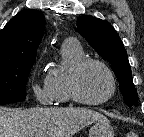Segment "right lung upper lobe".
Wrapping results in <instances>:
<instances>
[{
  "label": "right lung upper lobe",
  "mask_w": 144,
  "mask_h": 137,
  "mask_svg": "<svg viewBox=\"0 0 144 137\" xmlns=\"http://www.w3.org/2000/svg\"><path fill=\"white\" fill-rule=\"evenodd\" d=\"M44 31L42 12L20 11L0 31V63L35 59Z\"/></svg>",
  "instance_id": "cb5924a9"
}]
</instances>
